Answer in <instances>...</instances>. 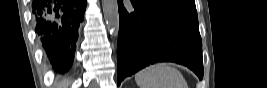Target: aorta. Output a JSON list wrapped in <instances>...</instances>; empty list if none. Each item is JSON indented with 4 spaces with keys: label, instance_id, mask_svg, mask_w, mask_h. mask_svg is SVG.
<instances>
[{
    "label": "aorta",
    "instance_id": "obj_1",
    "mask_svg": "<svg viewBox=\"0 0 267 88\" xmlns=\"http://www.w3.org/2000/svg\"><path fill=\"white\" fill-rule=\"evenodd\" d=\"M102 8L108 30L113 35L117 36L119 31V13L117 0H102Z\"/></svg>",
    "mask_w": 267,
    "mask_h": 88
}]
</instances>
